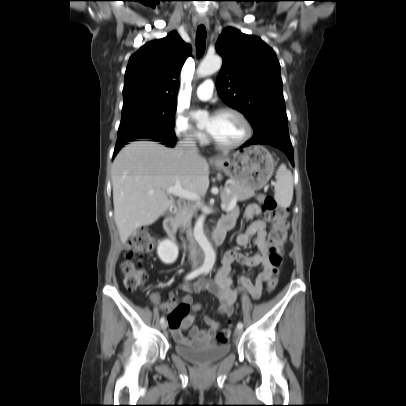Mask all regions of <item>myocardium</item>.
Listing matches in <instances>:
<instances>
[{
  "label": "myocardium",
  "instance_id": "obj_1",
  "mask_svg": "<svg viewBox=\"0 0 406 406\" xmlns=\"http://www.w3.org/2000/svg\"><path fill=\"white\" fill-rule=\"evenodd\" d=\"M222 113H232L236 115L240 121L242 122L244 126V135L236 142L226 144L218 141L208 130H207V135L210 139V141L218 148L224 149V150H230V149H235L243 144H245L252 136V126L247 117L237 108L234 107H222L219 110L216 111L215 115L217 114H222Z\"/></svg>",
  "mask_w": 406,
  "mask_h": 406
}]
</instances>
